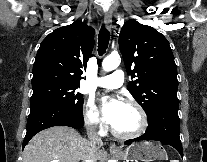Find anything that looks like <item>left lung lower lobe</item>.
<instances>
[{
  "mask_svg": "<svg viewBox=\"0 0 207 162\" xmlns=\"http://www.w3.org/2000/svg\"><path fill=\"white\" fill-rule=\"evenodd\" d=\"M149 126L146 132L135 139L127 140L131 144L139 140H155L174 147L183 156L182 144L180 141V121L178 107L167 106L159 108L148 118Z\"/></svg>",
  "mask_w": 207,
  "mask_h": 162,
  "instance_id": "1",
  "label": "left lung lower lobe"
}]
</instances>
